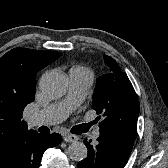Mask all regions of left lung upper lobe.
Listing matches in <instances>:
<instances>
[{"instance_id":"obj_1","label":"left lung upper lobe","mask_w":168,"mask_h":168,"mask_svg":"<svg viewBox=\"0 0 168 168\" xmlns=\"http://www.w3.org/2000/svg\"><path fill=\"white\" fill-rule=\"evenodd\" d=\"M104 61L109 70L97 79L92 103L97 114L104 117L99 123L100 131L114 132L134 141L140 109L138 98L115 60L105 55Z\"/></svg>"}]
</instances>
